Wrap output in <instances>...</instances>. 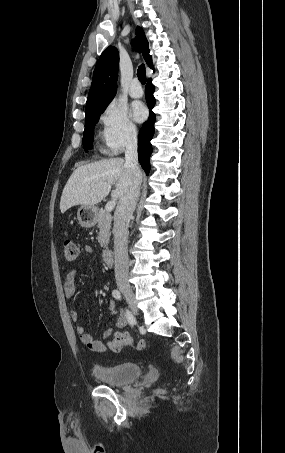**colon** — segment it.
I'll use <instances>...</instances> for the list:
<instances>
[{"label": "colon", "mask_w": 285, "mask_h": 453, "mask_svg": "<svg viewBox=\"0 0 285 453\" xmlns=\"http://www.w3.org/2000/svg\"><path fill=\"white\" fill-rule=\"evenodd\" d=\"M64 255L67 261H74L80 255L79 245L72 239H66L63 243ZM109 348L118 352L124 346H133L137 350H143L146 346L144 340L135 342L127 332H115L113 338L108 342Z\"/></svg>", "instance_id": "colon-1"}]
</instances>
